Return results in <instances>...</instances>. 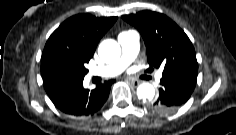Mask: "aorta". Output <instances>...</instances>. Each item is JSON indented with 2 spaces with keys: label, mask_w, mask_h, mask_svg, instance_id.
<instances>
[{
  "label": "aorta",
  "mask_w": 236,
  "mask_h": 135,
  "mask_svg": "<svg viewBox=\"0 0 236 135\" xmlns=\"http://www.w3.org/2000/svg\"><path fill=\"white\" fill-rule=\"evenodd\" d=\"M100 58L106 63H112L121 55L120 45L113 39L102 41L98 48ZM137 96L142 100H152L155 96V88L150 83H142L137 88Z\"/></svg>",
  "instance_id": "aorta-1"
}]
</instances>
